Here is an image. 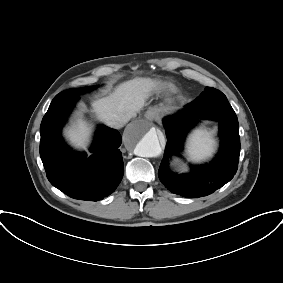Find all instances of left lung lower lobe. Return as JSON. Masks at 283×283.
I'll use <instances>...</instances> for the list:
<instances>
[{"label": "left lung lower lobe", "mask_w": 283, "mask_h": 283, "mask_svg": "<svg viewBox=\"0 0 283 283\" xmlns=\"http://www.w3.org/2000/svg\"><path fill=\"white\" fill-rule=\"evenodd\" d=\"M236 118L227 99L215 100L203 92L182 111L164 119L168 141L158 176L168 190L184 197H203L221 188L233 178L240 155L239 127ZM199 119L219 122L220 151L209 164L194 166L188 174H175L168 167L170 158L179 154L186 132Z\"/></svg>", "instance_id": "1"}]
</instances>
